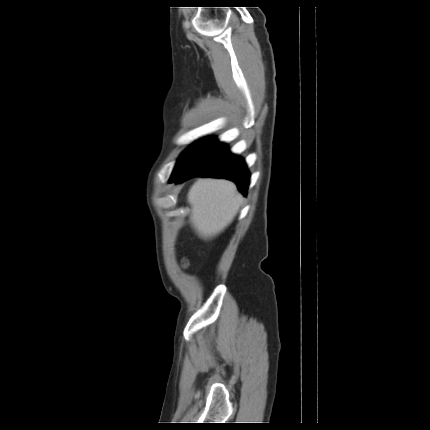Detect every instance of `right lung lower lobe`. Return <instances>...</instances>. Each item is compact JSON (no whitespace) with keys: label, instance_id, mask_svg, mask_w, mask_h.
<instances>
[{"label":"right lung lower lobe","instance_id":"obj_1","mask_svg":"<svg viewBox=\"0 0 430 430\" xmlns=\"http://www.w3.org/2000/svg\"><path fill=\"white\" fill-rule=\"evenodd\" d=\"M194 176L219 177L234 181L247 193L250 174L244 159L232 154L223 143H216L190 165L172 174L169 182H183Z\"/></svg>","mask_w":430,"mask_h":430}]
</instances>
